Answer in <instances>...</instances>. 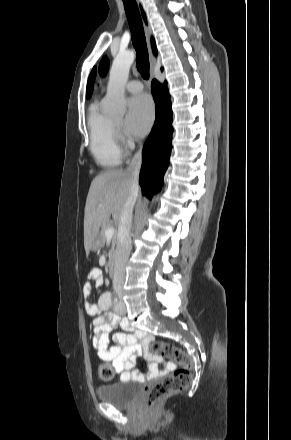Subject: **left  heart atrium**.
I'll use <instances>...</instances> for the list:
<instances>
[{"mask_svg":"<svg viewBox=\"0 0 291 440\" xmlns=\"http://www.w3.org/2000/svg\"><path fill=\"white\" fill-rule=\"evenodd\" d=\"M126 130L135 137L144 136L150 129L154 119L153 103L147 95H135L128 102Z\"/></svg>","mask_w":291,"mask_h":440,"instance_id":"1","label":"left heart atrium"}]
</instances>
